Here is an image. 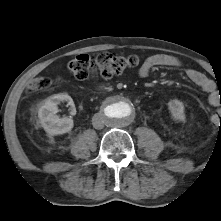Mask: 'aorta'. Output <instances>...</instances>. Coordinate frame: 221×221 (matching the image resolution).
I'll use <instances>...</instances> for the list:
<instances>
[{"label":"aorta","mask_w":221,"mask_h":221,"mask_svg":"<svg viewBox=\"0 0 221 221\" xmlns=\"http://www.w3.org/2000/svg\"><path fill=\"white\" fill-rule=\"evenodd\" d=\"M134 114V105L124 97H116L107 101L103 108L105 121L114 127L128 125L133 120Z\"/></svg>","instance_id":"aorta-1"}]
</instances>
